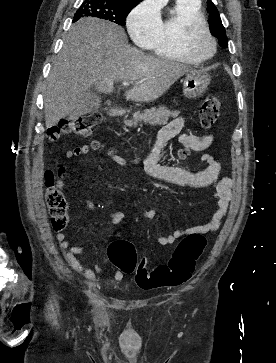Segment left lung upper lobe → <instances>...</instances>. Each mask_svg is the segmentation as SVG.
<instances>
[{
    "label": "left lung upper lobe",
    "instance_id": "obj_1",
    "mask_svg": "<svg viewBox=\"0 0 276 363\" xmlns=\"http://www.w3.org/2000/svg\"><path fill=\"white\" fill-rule=\"evenodd\" d=\"M207 4H208L207 10L211 15L210 19L208 20L209 24H210V27H209L210 31L214 36H216L219 39V44L222 47H227L228 40H227V36H226V31L222 25L219 12L211 0H208Z\"/></svg>",
    "mask_w": 276,
    "mask_h": 363
}]
</instances>
